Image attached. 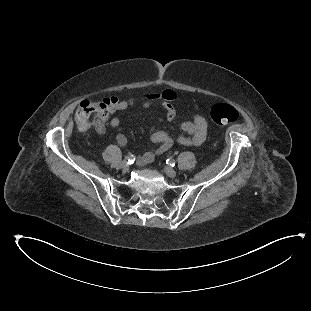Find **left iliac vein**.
<instances>
[{
    "label": "left iliac vein",
    "instance_id": "4c4485c4",
    "mask_svg": "<svg viewBox=\"0 0 311 311\" xmlns=\"http://www.w3.org/2000/svg\"><path fill=\"white\" fill-rule=\"evenodd\" d=\"M164 172L170 178H174L177 175L176 171L173 168H171V167H165L164 168Z\"/></svg>",
    "mask_w": 311,
    "mask_h": 311
}]
</instances>
